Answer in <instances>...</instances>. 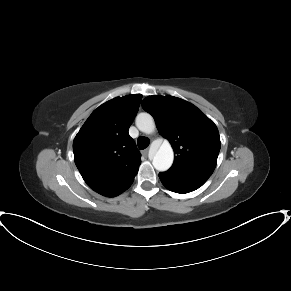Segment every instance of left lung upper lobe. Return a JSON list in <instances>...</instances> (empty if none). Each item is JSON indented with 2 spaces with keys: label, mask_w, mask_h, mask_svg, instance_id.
Listing matches in <instances>:
<instances>
[{
  "label": "left lung upper lobe",
  "mask_w": 291,
  "mask_h": 291,
  "mask_svg": "<svg viewBox=\"0 0 291 291\" xmlns=\"http://www.w3.org/2000/svg\"><path fill=\"white\" fill-rule=\"evenodd\" d=\"M142 107L173 147L174 163L166 173L207 181L221 146L216 125L196 106L173 96H148Z\"/></svg>",
  "instance_id": "obj_1"
}]
</instances>
